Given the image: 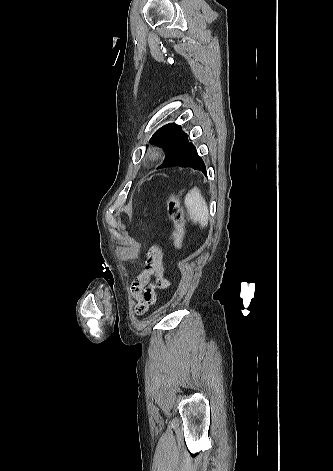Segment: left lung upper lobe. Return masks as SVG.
<instances>
[{"instance_id":"5c2ea615","label":"left lung upper lobe","mask_w":333,"mask_h":471,"mask_svg":"<svg viewBox=\"0 0 333 471\" xmlns=\"http://www.w3.org/2000/svg\"><path fill=\"white\" fill-rule=\"evenodd\" d=\"M150 143L164 149L166 157L164 163L158 168L168 167L171 158L189 144L188 135L182 131L180 125L170 123L154 133Z\"/></svg>"}]
</instances>
